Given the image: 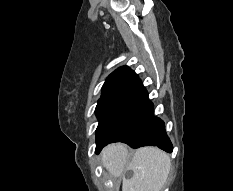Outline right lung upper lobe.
Listing matches in <instances>:
<instances>
[{
	"mask_svg": "<svg viewBox=\"0 0 233 191\" xmlns=\"http://www.w3.org/2000/svg\"><path fill=\"white\" fill-rule=\"evenodd\" d=\"M138 80L139 77L137 74H135L129 67L123 66L116 69L106 79L102 87L101 98L98 102L126 95Z\"/></svg>",
	"mask_w": 233,
	"mask_h": 191,
	"instance_id": "1",
	"label": "right lung upper lobe"
}]
</instances>
